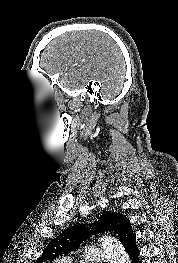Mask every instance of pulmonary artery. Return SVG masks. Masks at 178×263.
Segmentation results:
<instances>
[{"mask_svg":"<svg viewBox=\"0 0 178 263\" xmlns=\"http://www.w3.org/2000/svg\"><path fill=\"white\" fill-rule=\"evenodd\" d=\"M104 258V253L100 248L90 247L83 253V263H98ZM59 263H71L70 259H62Z\"/></svg>","mask_w":178,"mask_h":263,"instance_id":"pulmonary-artery-1","label":"pulmonary artery"}]
</instances>
